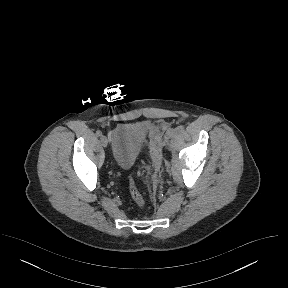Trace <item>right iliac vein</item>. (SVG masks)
Instances as JSON below:
<instances>
[{
	"label": "right iliac vein",
	"instance_id": "right-iliac-vein-1",
	"mask_svg": "<svg viewBox=\"0 0 288 288\" xmlns=\"http://www.w3.org/2000/svg\"><path fill=\"white\" fill-rule=\"evenodd\" d=\"M101 144H102L103 147L107 146L108 140H107V138L105 136L101 137Z\"/></svg>",
	"mask_w": 288,
	"mask_h": 288
}]
</instances>
